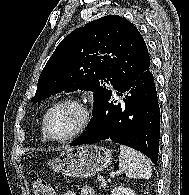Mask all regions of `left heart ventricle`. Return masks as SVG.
I'll return each mask as SVG.
<instances>
[{
	"instance_id": "b2bd125f",
	"label": "left heart ventricle",
	"mask_w": 189,
	"mask_h": 195,
	"mask_svg": "<svg viewBox=\"0 0 189 195\" xmlns=\"http://www.w3.org/2000/svg\"><path fill=\"white\" fill-rule=\"evenodd\" d=\"M82 111L75 105L58 107L49 118V130L55 137H64L74 132L81 124Z\"/></svg>"
}]
</instances>
